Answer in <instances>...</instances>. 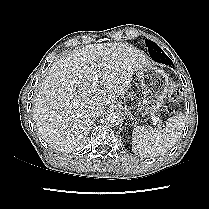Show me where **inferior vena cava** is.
Listing matches in <instances>:
<instances>
[{
	"label": "inferior vena cava",
	"instance_id": "inferior-vena-cava-1",
	"mask_svg": "<svg viewBox=\"0 0 209 209\" xmlns=\"http://www.w3.org/2000/svg\"><path fill=\"white\" fill-rule=\"evenodd\" d=\"M92 115L95 117V116H98L99 115V111L98 110H95L92 112Z\"/></svg>",
	"mask_w": 209,
	"mask_h": 209
}]
</instances>
